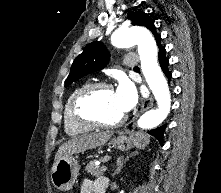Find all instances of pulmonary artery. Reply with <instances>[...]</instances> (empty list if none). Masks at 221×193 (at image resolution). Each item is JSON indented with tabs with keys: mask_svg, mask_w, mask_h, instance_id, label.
Returning <instances> with one entry per match:
<instances>
[{
	"mask_svg": "<svg viewBox=\"0 0 221 193\" xmlns=\"http://www.w3.org/2000/svg\"><path fill=\"white\" fill-rule=\"evenodd\" d=\"M124 63L127 67L132 68L133 66H135L138 63V56L132 55V56L128 57Z\"/></svg>",
	"mask_w": 221,
	"mask_h": 193,
	"instance_id": "pulmonary-artery-1",
	"label": "pulmonary artery"
}]
</instances>
